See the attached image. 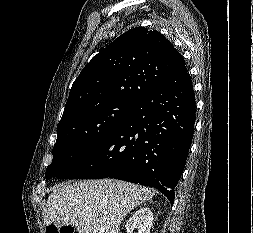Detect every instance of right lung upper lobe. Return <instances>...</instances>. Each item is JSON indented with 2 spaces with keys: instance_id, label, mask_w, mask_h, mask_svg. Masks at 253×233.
<instances>
[{
  "instance_id": "obj_1",
  "label": "right lung upper lobe",
  "mask_w": 253,
  "mask_h": 233,
  "mask_svg": "<svg viewBox=\"0 0 253 233\" xmlns=\"http://www.w3.org/2000/svg\"><path fill=\"white\" fill-rule=\"evenodd\" d=\"M183 67V57L160 32L133 28L83 68L72 85L63 116L105 100L135 101L152 85Z\"/></svg>"
}]
</instances>
